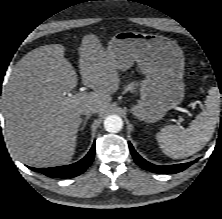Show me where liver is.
<instances>
[{
    "label": "liver",
    "instance_id": "1",
    "mask_svg": "<svg viewBox=\"0 0 222 219\" xmlns=\"http://www.w3.org/2000/svg\"><path fill=\"white\" fill-rule=\"evenodd\" d=\"M61 44L40 46L16 64L3 95L7 142L28 166L53 167L68 163L75 152L83 109L107 112L111 94L119 89L115 60L94 34L82 38L79 71L82 83L94 90L71 97L65 94L78 83Z\"/></svg>",
    "mask_w": 222,
    "mask_h": 219
}]
</instances>
